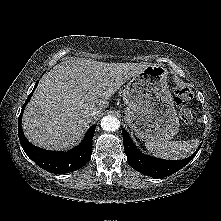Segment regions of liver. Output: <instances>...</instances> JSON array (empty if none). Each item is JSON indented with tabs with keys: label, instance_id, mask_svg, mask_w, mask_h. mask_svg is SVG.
<instances>
[{
	"label": "liver",
	"instance_id": "liver-1",
	"mask_svg": "<svg viewBox=\"0 0 221 221\" xmlns=\"http://www.w3.org/2000/svg\"><path fill=\"white\" fill-rule=\"evenodd\" d=\"M147 66L85 58L55 65L40 80L24 110L22 127L26 138L49 150L76 145L92 122L90 111L107 108L114 93Z\"/></svg>",
	"mask_w": 221,
	"mask_h": 221
}]
</instances>
